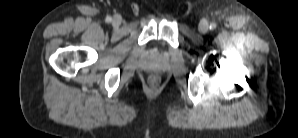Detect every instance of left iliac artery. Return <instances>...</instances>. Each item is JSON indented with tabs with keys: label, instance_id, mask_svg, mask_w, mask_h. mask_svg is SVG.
Segmentation results:
<instances>
[{
	"label": "left iliac artery",
	"instance_id": "44dca946",
	"mask_svg": "<svg viewBox=\"0 0 298 138\" xmlns=\"http://www.w3.org/2000/svg\"><path fill=\"white\" fill-rule=\"evenodd\" d=\"M209 28L211 30H214L216 28V24L215 23H211L210 26H209Z\"/></svg>",
	"mask_w": 298,
	"mask_h": 138
}]
</instances>
